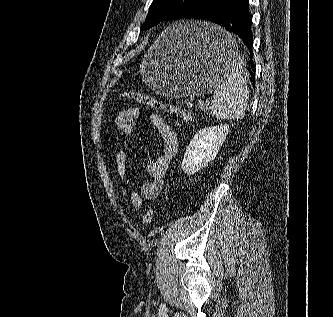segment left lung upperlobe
<instances>
[{
    "mask_svg": "<svg viewBox=\"0 0 333 317\" xmlns=\"http://www.w3.org/2000/svg\"><path fill=\"white\" fill-rule=\"evenodd\" d=\"M213 0H153L141 29H148L161 21L185 19L191 12Z\"/></svg>",
    "mask_w": 333,
    "mask_h": 317,
    "instance_id": "left-lung-upper-lobe-1",
    "label": "left lung upper lobe"
}]
</instances>
